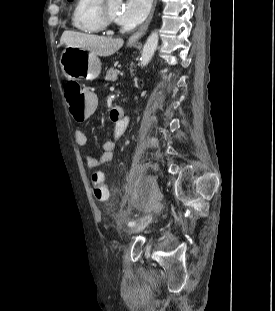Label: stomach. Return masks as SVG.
<instances>
[{
  "instance_id": "stomach-1",
  "label": "stomach",
  "mask_w": 275,
  "mask_h": 311,
  "mask_svg": "<svg viewBox=\"0 0 275 311\" xmlns=\"http://www.w3.org/2000/svg\"><path fill=\"white\" fill-rule=\"evenodd\" d=\"M64 75L68 79H96L101 72V62L92 51L83 48L67 46L60 57Z\"/></svg>"
}]
</instances>
